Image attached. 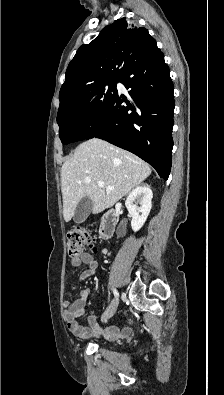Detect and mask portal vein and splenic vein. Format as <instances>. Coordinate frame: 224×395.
<instances>
[{
    "label": "portal vein and splenic vein",
    "mask_w": 224,
    "mask_h": 395,
    "mask_svg": "<svg viewBox=\"0 0 224 395\" xmlns=\"http://www.w3.org/2000/svg\"><path fill=\"white\" fill-rule=\"evenodd\" d=\"M97 185H98L100 188H104V187H105V184H104L103 182H98ZM106 189H107L108 191H110V190H113L114 187H112V186H107Z\"/></svg>",
    "instance_id": "obj_1"
}]
</instances>
